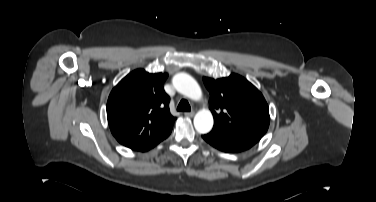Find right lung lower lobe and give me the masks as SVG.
I'll use <instances>...</instances> for the list:
<instances>
[{
    "mask_svg": "<svg viewBox=\"0 0 376 202\" xmlns=\"http://www.w3.org/2000/svg\"><path fill=\"white\" fill-rule=\"evenodd\" d=\"M170 133H171V131L168 132L167 134H165L163 137H161V139H160L157 143H155V144H153V145H151V146L145 147V148H143V149H140L139 151H142V152H144V151H148L149 149H151V148H153L155 145H157L160 141L166 139V138L170 135Z\"/></svg>",
    "mask_w": 376,
    "mask_h": 202,
    "instance_id": "98d812e1",
    "label": "right lung lower lobe"
}]
</instances>
